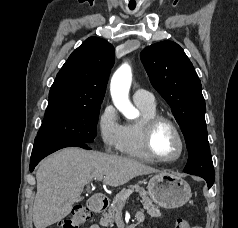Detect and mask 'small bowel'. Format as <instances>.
Listing matches in <instances>:
<instances>
[{"label": "small bowel", "mask_w": 238, "mask_h": 228, "mask_svg": "<svg viewBox=\"0 0 238 228\" xmlns=\"http://www.w3.org/2000/svg\"><path fill=\"white\" fill-rule=\"evenodd\" d=\"M138 221H143L144 220V216L141 219H137ZM89 228H99L98 225L96 224H92Z\"/></svg>", "instance_id": "small-bowel-1"}]
</instances>
